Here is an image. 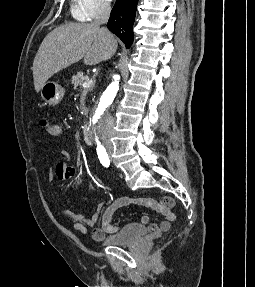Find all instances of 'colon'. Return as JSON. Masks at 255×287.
Segmentation results:
<instances>
[{
	"label": "colon",
	"instance_id": "1",
	"mask_svg": "<svg viewBox=\"0 0 255 287\" xmlns=\"http://www.w3.org/2000/svg\"><path fill=\"white\" fill-rule=\"evenodd\" d=\"M40 125L47 130L50 136L58 137L61 134V126L47 118H41Z\"/></svg>",
	"mask_w": 255,
	"mask_h": 287
}]
</instances>
